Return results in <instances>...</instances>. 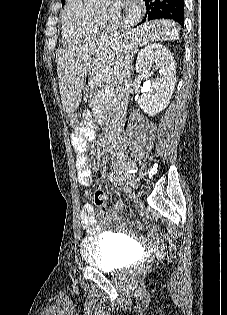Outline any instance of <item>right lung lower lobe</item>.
<instances>
[{"instance_id":"1","label":"right lung lower lobe","mask_w":227,"mask_h":315,"mask_svg":"<svg viewBox=\"0 0 227 315\" xmlns=\"http://www.w3.org/2000/svg\"><path fill=\"white\" fill-rule=\"evenodd\" d=\"M145 6L146 14L142 23L146 20L168 18L183 25L184 0H146Z\"/></svg>"}]
</instances>
